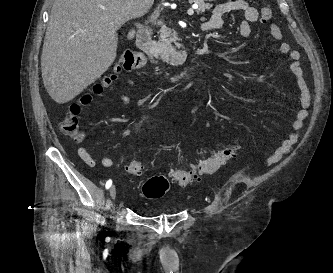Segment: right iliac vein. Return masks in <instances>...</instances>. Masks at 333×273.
<instances>
[{"label": "right iliac vein", "mask_w": 333, "mask_h": 273, "mask_svg": "<svg viewBox=\"0 0 333 273\" xmlns=\"http://www.w3.org/2000/svg\"><path fill=\"white\" fill-rule=\"evenodd\" d=\"M109 193H110L111 199L114 200L115 197H116V187H115V185L111 186Z\"/></svg>", "instance_id": "1"}]
</instances>
